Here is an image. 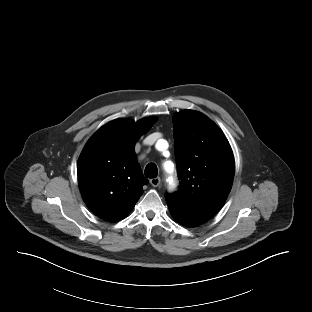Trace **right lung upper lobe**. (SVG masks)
I'll return each instance as SVG.
<instances>
[{
    "label": "right lung upper lobe",
    "instance_id": "obj_1",
    "mask_svg": "<svg viewBox=\"0 0 312 312\" xmlns=\"http://www.w3.org/2000/svg\"><path fill=\"white\" fill-rule=\"evenodd\" d=\"M155 118L133 122L114 120L86 143L77 165L84 202L98 217L116 222L124 218L148 183L136 161L134 145L150 130Z\"/></svg>",
    "mask_w": 312,
    "mask_h": 312
}]
</instances>
